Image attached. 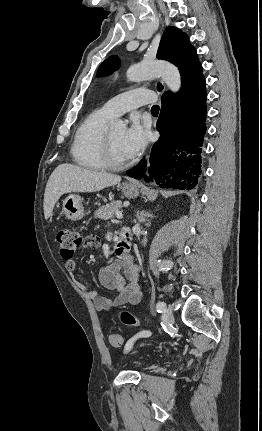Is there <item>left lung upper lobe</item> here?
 Returning a JSON list of instances; mask_svg holds the SVG:
<instances>
[{
	"label": "left lung upper lobe",
	"instance_id": "obj_1",
	"mask_svg": "<svg viewBox=\"0 0 262 431\" xmlns=\"http://www.w3.org/2000/svg\"><path fill=\"white\" fill-rule=\"evenodd\" d=\"M157 58L167 60L179 68L182 79L181 90L204 78L196 50L189 43L187 35L176 27L166 28L158 48ZM118 67L119 60L117 56H112L101 65L99 75L108 74ZM162 89L163 86L158 84V90L161 91ZM169 93L171 92L168 91L164 94Z\"/></svg>",
	"mask_w": 262,
	"mask_h": 431
}]
</instances>
